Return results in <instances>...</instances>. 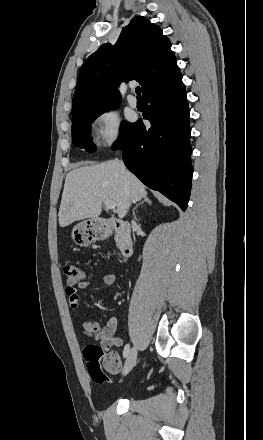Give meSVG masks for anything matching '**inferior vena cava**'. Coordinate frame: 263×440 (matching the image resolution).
Masks as SVG:
<instances>
[{"mask_svg": "<svg viewBox=\"0 0 263 440\" xmlns=\"http://www.w3.org/2000/svg\"><path fill=\"white\" fill-rule=\"evenodd\" d=\"M121 167H122L123 171H125V166L122 162H121Z\"/></svg>", "mask_w": 263, "mask_h": 440, "instance_id": "1", "label": "inferior vena cava"}]
</instances>
